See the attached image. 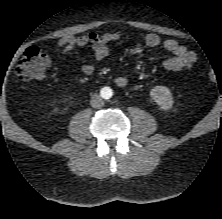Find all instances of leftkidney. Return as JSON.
Here are the masks:
<instances>
[{
  "instance_id": "5707ae66",
  "label": "left kidney",
  "mask_w": 222,
  "mask_h": 219,
  "mask_svg": "<svg viewBox=\"0 0 222 219\" xmlns=\"http://www.w3.org/2000/svg\"><path fill=\"white\" fill-rule=\"evenodd\" d=\"M150 95L162 110H169L174 104L172 93L166 86H156L152 88Z\"/></svg>"
}]
</instances>
